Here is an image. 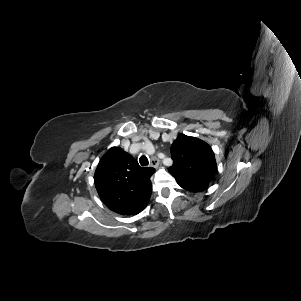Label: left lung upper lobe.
<instances>
[{"label": "left lung upper lobe", "mask_w": 301, "mask_h": 301, "mask_svg": "<svg viewBox=\"0 0 301 301\" xmlns=\"http://www.w3.org/2000/svg\"><path fill=\"white\" fill-rule=\"evenodd\" d=\"M171 157L174 162L168 170L188 191L205 190L216 173L213 150L198 138L179 135L171 146Z\"/></svg>", "instance_id": "5c2ea615"}]
</instances>
